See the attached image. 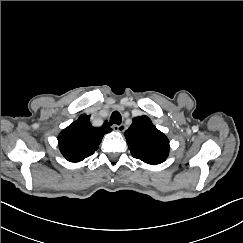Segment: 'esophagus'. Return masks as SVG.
<instances>
[{
  "instance_id": "1",
  "label": "esophagus",
  "mask_w": 243,
  "mask_h": 243,
  "mask_svg": "<svg viewBox=\"0 0 243 243\" xmlns=\"http://www.w3.org/2000/svg\"><path fill=\"white\" fill-rule=\"evenodd\" d=\"M112 128H113L115 131H118V132H124V131H125V125H124V124H120V125L114 124V125L112 126Z\"/></svg>"
}]
</instances>
